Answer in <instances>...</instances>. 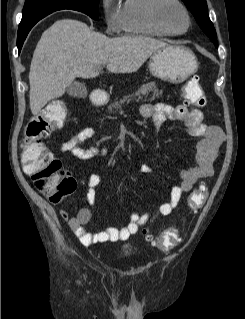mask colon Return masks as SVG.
Returning a JSON list of instances; mask_svg holds the SVG:
<instances>
[{
    "mask_svg": "<svg viewBox=\"0 0 245 319\" xmlns=\"http://www.w3.org/2000/svg\"><path fill=\"white\" fill-rule=\"evenodd\" d=\"M186 103L195 107H203L207 103L199 78H190L183 87ZM67 106L54 101L39 115L28 123L24 139L21 143L23 170L34 181L35 186L53 203L60 202L73 193L76 183L62 169L61 162L43 145L42 140L60 129L67 118ZM208 196V188L202 182L189 197V206L198 209L203 206ZM146 236L157 248L169 250L175 247L178 234L175 229H168L156 235L146 232Z\"/></svg>",
    "mask_w": 245,
    "mask_h": 319,
    "instance_id": "1",
    "label": "colon"
}]
</instances>
